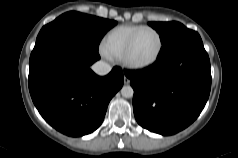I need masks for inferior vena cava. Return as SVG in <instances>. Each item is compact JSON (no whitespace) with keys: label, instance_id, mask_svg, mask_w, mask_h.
Here are the masks:
<instances>
[{"label":"inferior vena cava","instance_id":"602c4592","mask_svg":"<svg viewBox=\"0 0 238 158\" xmlns=\"http://www.w3.org/2000/svg\"><path fill=\"white\" fill-rule=\"evenodd\" d=\"M111 69V66L104 61H98L92 66V70L100 76L107 75Z\"/></svg>","mask_w":238,"mask_h":158}]
</instances>
